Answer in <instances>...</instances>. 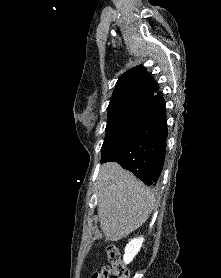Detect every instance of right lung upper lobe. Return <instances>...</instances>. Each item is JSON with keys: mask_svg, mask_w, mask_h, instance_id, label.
<instances>
[{"mask_svg": "<svg viewBox=\"0 0 221 278\" xmlns=\"http://www.w3.org/2000/svg\"><path fill=\"white\" fill-rule=\"evenodd\" d=\"M158 89L155 80L143 66L134 67L118 79L108 110L112 111L134 103L147 104L157 95Z\"/></svg>", "mask_w": 221, "mask_h": 278, "instance_id": "right-lung-upper-lobe-1", "label": "right lung upper lobe"}]
</instances>
